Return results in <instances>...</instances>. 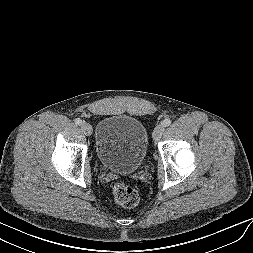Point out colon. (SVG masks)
<instances>
[{
    "label": "colon",
    "instance_id": "1",
    "mask_svg": "<svg viewBox=\"0 0 253 253\" xmlns=\"http://www.w3.org/2000/svg\"><path fill=\"white\" fill-rule=\"evenodd\" d=\"M112 193L116 202L125 208H134L139 203L137 190L124 182L116 183Z\"/></svg>",
    "mask_w": 253,
    "mask_h": 253
}]
</instances>
